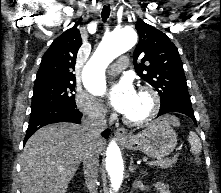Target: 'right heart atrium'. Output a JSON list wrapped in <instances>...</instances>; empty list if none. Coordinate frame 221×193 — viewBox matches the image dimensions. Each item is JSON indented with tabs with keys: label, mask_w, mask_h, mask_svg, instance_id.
Segmentation results:
<instances>
[{
	"label": "right heart atrium",
	"mask_w": 221,
	"mask_h": 193,
	"mask_svg": "<svg viewBox=\"0 0 221 193\" xmlns=\"http://www.w3.org/2000/svg\"><path fill=\"white\" fill-rule=\"evenodd\" d=\"M75 105L81 113L92 120L104 121L108 116L107 109L86 93L76 94Z\"/></svg>",
	"instance_id": "d8ad5b80"
}]
</instances>
